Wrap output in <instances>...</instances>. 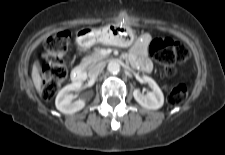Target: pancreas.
Here are the masks:
<instances>
[{"mask_svg":"<svg viewBox=\"0 0 225 155\" xmlns=\"http://www.w3.org/2000/svg\"><path fill=\"white\" fill-rule=\"evenodd\" d=\"M104 59H106V56L101 54V49L98 47V48H95L91 56L83 58L81 62V66L84 68H87L100 61H103Z\"/></svg>","mask_w":225,"mask_h":155,"instance_id":"1","label":"pancreas"}]
</instances>
